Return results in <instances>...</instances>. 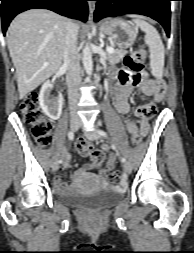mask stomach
I'll list each match as a JSON object with an SVG mask.
<instances>
[{"label": "stomach", "instance_id": "0dacf381", "mask_svg": "<svg viewBox=\"0 0 194 253\" xmlns=\"http://www.w3.org/2000/svg\"><path fill=\"white\" fill-rule=\"evenodd\" d=\"M100 31L107 35L122 50L131 47L137 36L134 28L120 19L104 21L100 26Z\"/></svg>", "mask_w": 194, "mask_h": 253}]
</instances>
